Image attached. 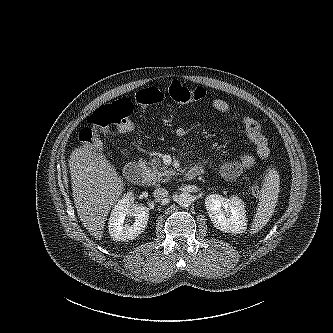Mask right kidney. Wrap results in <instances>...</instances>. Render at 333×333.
I'll return each mask as SVG.
<instances>
[{"label":"right kidney","instance_id":"obj_1","mask_svg":"<svg viewBox=\"0 0 333 333\" xmlns=\"http://www.w3.org/2000/svg\"><path fill=\"white\" fill-rule=\"evenodd\" d=\"M132 192L125 194L115 205L111 212L108 229L114 241H129L139 236L147 226L149 209L144 206H133L131 203ZM126 216H134L132 225L125 224Z\"/></svg>","mask_w":333,"mask_h":333}]
</instances>
